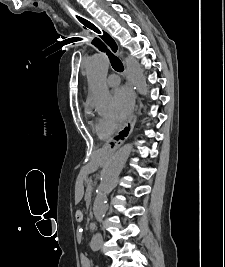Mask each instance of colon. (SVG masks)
Segmentation results:
<instances>
[{
	"mask_svg": "<svg viewBox=\"0 0 225 267\" xmlns=\"http://www.w3.org/2000/svg\"><path fill=\"white\" fill-rule=\"evenodd\" d=\"M75 219H76L77 222H81L82 221L83 214H82V212L80 210H77L75 212Z\"/></svg>",
	"mask_w": 225,
	"mask_h": 267,
	"instance_id": "colon-1",
	"label": "colon"
}]
</instances>
